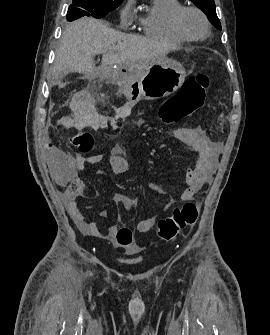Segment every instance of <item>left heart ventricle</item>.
Returning <instances> with one entry per match:
<instances>
[{"label":"left heart ventricle","instance_id":"obj_1","mask_svg":"<svg viewBox=\"0 0 270 335\" xmlns=\"http://www.w3.org/2000/svg\"><path fill=\"white\" fill-rule=\"evenodd\" d=\"M182 25L184 30L194 38L202 37L205 34L204 21L196 12H186L182 17Z\"/></svg>","mask_w":270,"mask_h":335}]
</instances>
